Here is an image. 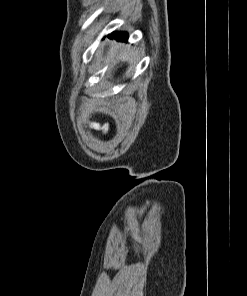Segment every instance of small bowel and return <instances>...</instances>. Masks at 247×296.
Wrapping results in <instances>:
<instances>
[{
  "label": "small bowel",
  "mask_w": 247,
  "mask_h": 296,
  "mask_svg": "<svg viewBox=\"0 0 247 296\" xmlns=\"http://www.w3.org/2000/svg\"><path fill=\"white\" fill-rule=\"evenodd\" d=\"M91 126L94 129H99L100 128L99 124H97V123H91Z\"/></svg>",
  "instance_id": "small-bowel-1"
}]
</instances>
